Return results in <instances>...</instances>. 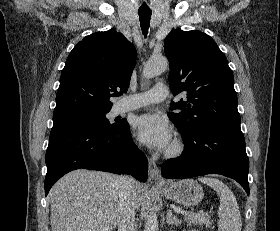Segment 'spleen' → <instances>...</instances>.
I'll return each instance as SVG.
<instances>
[{"label":"spleen","mask_w":280,"mask_h":231,"mask_svg":"<svg viewBox=\"0 0 280 231\" xmlns=\"http://www.w3.org/2000/svg\"><path fill=\"white\" fill-rule=\"evenodd\" d=\"M198 179L213 187L220 197L218 209L220 217L218 223L219 231H241V213L233 191L223 181L215 179V177H198Z\"/></svg>","instance_id":"obj_1"}]
</instances>
